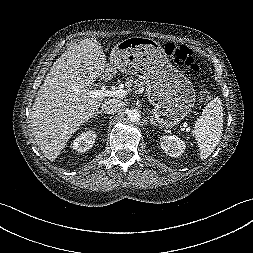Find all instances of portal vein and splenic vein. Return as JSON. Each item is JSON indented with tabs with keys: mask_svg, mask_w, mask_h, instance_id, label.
Returning a JSON list of instances; mask_svg holds the SVG:
<instances>
[{
	"mask_svg": "<svg viewBox=\"0 0 253 253\" xmlns=\"http://www.w3.org/2000/svg\"><path fill=\"white\" fill-rule=\"evenodd\" d=\"M127 91L123 89H113V90H108L105 88H101L98 90H92L89 92L90 97L92 98H99V97H118L122 98L127 95ZM183 127H187V124L184 123Z\"/></svg>",
	"mask_w": 253,
	"mask_h": 253,
	"instance_id": "obj_1",
	"label": "portal vein and splenic vein"
}]
</instances>
